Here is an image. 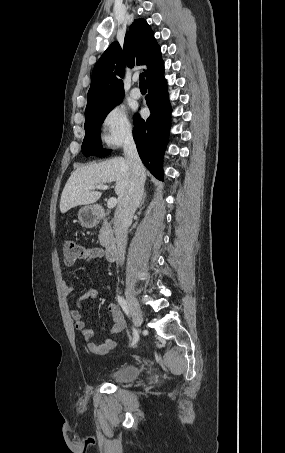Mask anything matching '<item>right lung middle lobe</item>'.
<instances>
[{
    "instance_id": "1",
    "label": "right lung middle lobe",
    "mask_w": 285,
    "mask_h": 453,
    "mask_svg": "<svg viewBox=\"0 0 285 453\" xmlns=\"http://www.w3.org/2000/svg\"><path fill=\"white\" fill-rule=\"evenodd\" d=\"M122 99H118L100 109L85 114V137L82 143V152L86 157L90 155L103 157L110 153V150L102 148L100 127L109 111L122 102Z\"/></svg>"
}]
</instances>
